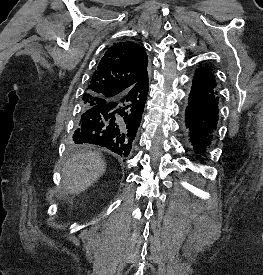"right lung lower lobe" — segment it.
<instances>
[{"mask_svg":"<svg viewBox=\"0 0 263 275\" xmlns=\"http://www.w3.org/2000/svg\"><path fill=\"white\" fill-rule=\"evenodd\" d=\"M144 84L148 86V74L144 76ZM147 93L148 89L146 96ZM127 97L116 94L84 109L73 135L74 143L98 145L128 156L143 112L130 109Z\"/></svg>","mask_w":263,"mask_h":275,"instance_id":"98d812e1","label":"right lung lower lobe"}]
</instances>
